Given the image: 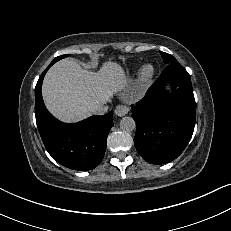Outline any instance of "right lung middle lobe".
<instances>
[{
  "label": "right lung middle lobe",
  "mask_w": 231,
  "mask_h": 231,
  "mask_svg": "<svg viewBox=\"0 0 231 231\" xmlns=\"http://www.w3.org/2000/svg\"><path fill=\"white\" fill-rule=\"evenodd\" d=\"M67 56H68V55L58 56V57H56L54 60H55V61H58V60L63 59V58H65V57H67Z\"/></svg>",
  "instance_id": "right-lung-middle-lobe-1"
}]
</instances>
